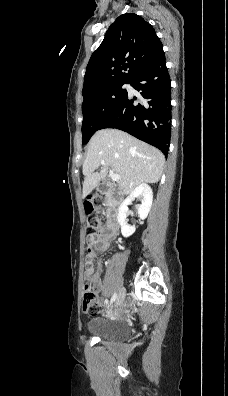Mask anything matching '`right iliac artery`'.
I'll list each match as a JSON object with an SVG mask.
<instances>
[{
    "instance_id": "1",
    "label": "right iliac artery",
    "mask_w": 228,
    "mask_h": 396,
    "mask_svg": "<svg viewBox=\"0 0 228 396\" xmlns=\"http://www.w3.org/2000/svg\"><path fill=\"white\" fill-rule=\"evenodd\" d=\"M116 298H117V293H114L110 300V303H113L116 300Z\"/></svg>"
}]
</instances>
